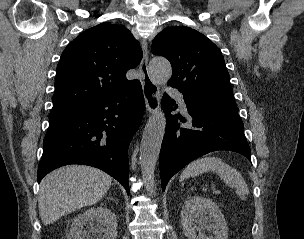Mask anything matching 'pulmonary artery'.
I'll return each instance as SVG.
<instances>
[{"label":"pulmonary artery","instance_id":"1","mask_svg":"<svg viewBox=\"0 0 304 239\" xmlns=\"http://www.w3.org/2000/svg\"><path fill=\"white\" fill-rule=\"evenodd\" d=\"M168 93L175 97L179 103V106L181 108V110L184 112V113H187V106H186V103H185V100H184V97H183V94L180 93L179 91L177 90H173V89H168L167 90Z\"/></svg>","mask_w":304,"mask_h":239}]
</instances>
